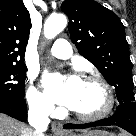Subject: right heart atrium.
Returning <instances> with one entry per match:
<instances>
[{
    "mask_svg": "<svg viewBox=\"0 0 136 136\" xmlns=\"http://www.w3.org/2000/svg\"><path fill=\"white\" fill-rule=\"evenodd\" d=\"M26 100L29 108L40 115H51L54 107L48 97L34 84V77L29 78V87L26 92Z\"/></svg>",
    "mask_w": 136,
    "mask_h": 136,
    "instance_id": "d8ad5b80",
    "label": "right heart atrium"
}]
</instances>
